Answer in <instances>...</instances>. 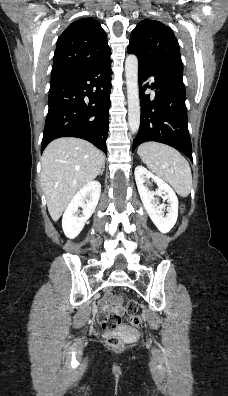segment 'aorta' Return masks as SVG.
<instances>
[{
  "mask_svg": "<svg viewBox=\"0 0 228 396\" xmlns=\"http://www.w3.org/2000/svg\"><path fill=\"white\" fill-rule=\"evenodd\" d=\"M126 86L128 97V122L131 132L137 133L140 126V102L138 87V59L128 55L125 61Z\"/></svg>",
  "mask_w": 228,
  "mask_h": 396,
  "instance_id": "obj_1",
  "label": "aorta"
}]
</instances>
